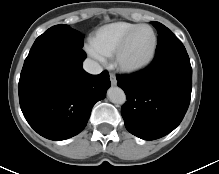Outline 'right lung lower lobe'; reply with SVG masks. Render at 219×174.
Masks as SVG:
<instances>
[{
    "mask_svg": "<svg viewBox=\"0 0 219 174\" xmlns=\"http://www.w3.org/2000/svg\"><path fill=\"white\" fill-rule=\"evenodd\" d=\"M82 48L47 47L25 60L18 84L22 113L50 140H65L86 126L92 107L110 87L109 73L90 75L82 68Z\"/></svg>",
    "mask_w": 219,
    "mask_h": 174,
    "instance_id": "1",
    "label": "right lung lower lobe"
}]
</instances>
